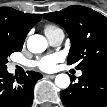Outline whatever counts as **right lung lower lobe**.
<instances>
[{"label":"right lung lower lobe","mask_w":107,"mask_h":107,"mask_svg":"<svg viewBox=\"0 0 107 107\" xmlns=\"http://www.w3.org/2000/svg\"><path fill=\"white\" fill-rule=\"evenodd\" d=\"M42 74L28 71L19 77H12L7 69L0 70V107H31L33 88Z\"/></svg>","instance_id":"obj_1"}]
</instances>
